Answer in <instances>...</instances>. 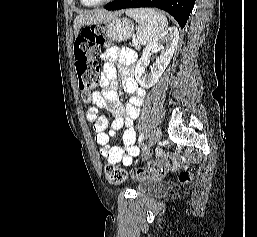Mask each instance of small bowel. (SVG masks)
<instances>
[{
    "mask_svg": "<svg viewBox=\"0 0 257 237\" xmlns=\"http://www.w3.org/2000/svg\"><path fill=\"white\" fill-rule=\"evenodd\" d=\"M135 57L132 50L116 47L108 48L101 55L103 74L100 84L103 89L91 95V102L94 106L89 108L86 114L88 121L93 124L95 140L100 146V153L111 164L122 162L125 166H130L133 158L139 155V149L135 145L134 121L139 116L145 94L138 87L133 76ZM116 62H118V66ZM118 73L122 77L124 90L131 94L125 105L119 101L116 91ZM100 109L107 110L114 115V120L109 128ZM120 130H123L120 142L113 146L111 139Z\"/></svg>",
    "mask_w": 257,
    "mask_h": 237,
    "instance_id": "c3829d8e",
    "label": "small bowel"
}]
</instances>
